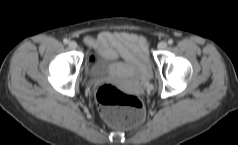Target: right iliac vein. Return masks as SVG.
Masks as SVG:
<instances>
[{"label":"right iliac vein","instance_id":"63e3f726","mask_svg":"<svg viewBox=\"0 0 238 145\" xmlns=\"http://www.w3.org/2000/svg\"><path fill=\"white\" fill-rule=\"evenodd\" d=\"M69 47H70L71 49H76V48H77V43H76L75 41H70V42H69Z\"/></svg>","mask_w":238,"mask_h":145}]
</instances>
